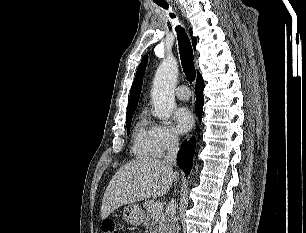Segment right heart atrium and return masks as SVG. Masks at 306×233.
I'll list each match as a JSON object with an SVG mask.
<instances>
[{"mask_svg":"<svg viewBox=\"0 0 306 233\" xmlns=\"http://www.w3.org/2000/svg\"><path fill=\"white\" fill-rule=\"evenodd\" d=\"M151 144L152 155L162 157L179 145V136L168 124H154L151 126Z\"/></svg>","mask_w":306,"mask_h":233,"instance_id":"obj_1","label":"right heart atrium"}]
</instances>
